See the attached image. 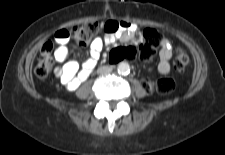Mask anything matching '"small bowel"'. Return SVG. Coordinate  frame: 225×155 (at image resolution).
Returning <instances> with one entry per match:
<instances>
[{
  "instance_id": "obj_1",
  "label": "small bowel",
  "mask_w": 225,
  "mask_h": 155,
  "mask_svg": "<svg viewBox=\"0 0 225 155\" xmlns=\"http://www.w3.org/2000/svg\"><path fill=\"white\" fill-rule=\"evenodd\" d=\"M105 36L95 37L90 45V57L83 62L81 67L78 62L69 60L67 45L72 40V33L67 28H59L55 31L53 39L59 46L55 51L56 61L61 65L56 69V76L69 90H75L91 74L95 67L100 52L105 44L112 43L118 36L124 41L130 40L137 31V27L127 21L108 20L103 24ZM158 72L167 75L170 72V59L172 57V45L168 39H162L159 50Z\"/></svg>"
}]
</instances>
